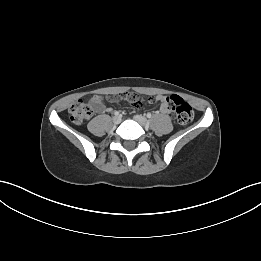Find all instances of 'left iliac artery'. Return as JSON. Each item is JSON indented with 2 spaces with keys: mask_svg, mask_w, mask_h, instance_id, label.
<instances>
[{
  "mask_svg": "<svg viewBox=\"0 0 261 261\" xmlns=\"http://www.w3.org/2000/svg\"><path fill=\"white\" fill-rule=\"evenodd\" d=\"M147 117H148V118H151V117H152L151 113H148V114H147Z\"/></svg>",
  "mask_w": 261,
  "mask_h": 261,
  "instance_id": "44dca946",
  "label": "left iliac artery"
}]
</instances>
